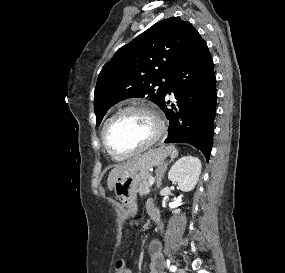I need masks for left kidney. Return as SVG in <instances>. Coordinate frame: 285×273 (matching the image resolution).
Wrapping results in <instances>:
<instances>
[{
    "label": "left kidney",
    "mask_w": 285,
    "mask_h": 273,
    "mask_svg": "<svg viewBox=\"0 0 285 273\" xmlns=\"http://www.w3.org/2000/svg\"><path fill=\"white\" fill-rule=\"evenodd\" d=\"M201 173V162L193 156H184L180 158L171 167L168 173V179L178 184L181 191L188 192L194 189L199 175ZM180 209H176L173 213H179Z\"/></svg>",
    "instance_id": "1"
}]
</instances>
